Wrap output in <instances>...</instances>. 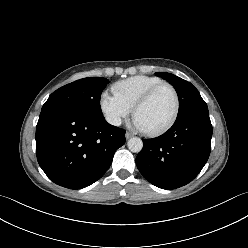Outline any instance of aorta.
<instances>
[{
	"instance_id": "obj_1",
	"label": "aorta",
	"mask_w": 248,
	"mask_h": 248,
	"mask_svg": "<svg viewBox=\"0 0 248 248\" xmlns=\"http://www.w3.org/2000/svg\"><path fill=\"white\" fill-rule=\"evenodd\" d=\"M127 146L131 152L138 153L143 148V142L140 138L133 137L128 140Z\"/></svg>"
}]
</instances>
